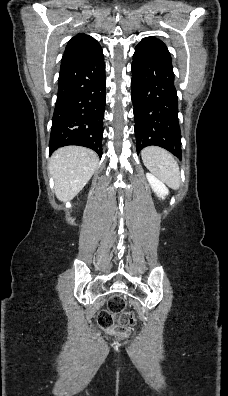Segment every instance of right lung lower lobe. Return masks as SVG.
I'll return each instance as SVG.
<instances>
[{"label": "right lung lower lobe", "mask_w": 228, "mask_h": 396, "mask_svg": "<svg viewBox=\"0 0 228 396\" xmlns=\"http://www.w3.org/2000/svg\"><path fill=\"white\" fill-rule=\"evenodd\" d=\"M106 101L102 48L63 60L52 118L49 151L67 145L93 149L102 156L103 116Z\"/></svg>", "instance_id": "obj_1"}]
</instances>
